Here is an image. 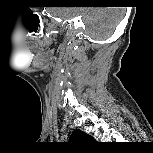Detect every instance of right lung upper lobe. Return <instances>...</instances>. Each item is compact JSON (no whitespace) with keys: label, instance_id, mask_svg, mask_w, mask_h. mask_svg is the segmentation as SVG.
<instances>
[{"label":"right lung upper lobe","instance_id":"cb5924a9","mask_svg":"<svg viewBox=\"0 0 153 153\" xmlns=\"http://www.w3.org/2000/svg\"><path fill=\"white\" fill-rule=\"evenodd\" d=\"M70 141L80 143H93L95 140L90 135L84 133L81 130H75L70 136Z\"/></svg>","mask_w":153,"mask_h":153}]
</instances>
